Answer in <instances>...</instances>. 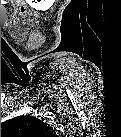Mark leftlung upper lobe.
<instances>
[{"mask_svg": "<svg viewBox=\"0 0 121 137\" xmlns=\"http://www.w3.org/2000/svg\"><path fill=\"white\" fill-rule=\"evenodd\" d=\"M1 133L4 136L46 137L54 133L53 129L42 120L23 115L1 123Z\"/></svg>", "mask_w": 121, "mask_h": 137, "instance_id": "obj_1", "label": "left lung upper lobe"}]
</instances>
